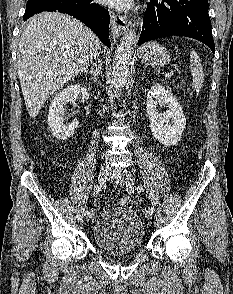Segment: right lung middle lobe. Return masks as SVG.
<instances>
[{
    "label": "right lung middle lobe",
    "instance_id": "obj_1",
    "mask_svg": "<svg viewBox=\"0 0 233 294\" xmlns=\"http://www.w3.org/2000/svg\"><path fill=\"white\" fill-rule=\"evenodd\" d=\"M36 1H39V0H28L27 1V6L30 5V4H32V3H34V2H36Z\"/></svg>",
    "mask_w": 233,
    "mask_h": 294
}]
</instances>
